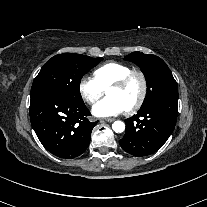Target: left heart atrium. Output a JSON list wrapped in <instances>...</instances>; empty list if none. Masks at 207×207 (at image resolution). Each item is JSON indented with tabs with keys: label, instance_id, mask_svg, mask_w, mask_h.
<instances>
[{
	"label": "left heart atrium",
	"instance_id": "39dd6f15",
	"mask_svg": "<svg viewBox=\"0 0 207 207\" xmlns=\"http://www.w3.org/2000/svg\"><path fill=\"white\" fill-rule=\"evenodd\" d=\"M125 110L123 104L113 97H106L92 107V113L101 118L116 116L125 112Z\"/></svg>",
	"mask_w": 207,
	"mask_h": 207
}]
</instances>
